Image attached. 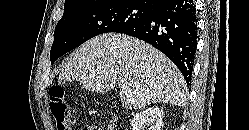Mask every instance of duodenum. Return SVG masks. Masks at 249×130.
<instances>
[{
  "label": "duodenum",
  "instance_id": "1",
  "mask_svg": "<svg viewBox=\"0 0 249 130\" xmlns=\"http://www.w3.org/2000/svg\"><path fill=\"white\" fill-rule=\"evenodd\" d=\"M116 124L114 122L110 123L107 130H115Z\"/></svg>",
  "mask_w": 249,
  "mask_h": 130
}]
</instances>
